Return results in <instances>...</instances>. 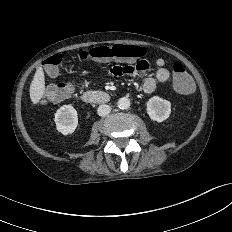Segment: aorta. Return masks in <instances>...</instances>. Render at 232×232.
<instances>
[{
	"label": "aorta",
	"mask_w": 232,
	"mask_h": 232,
	"mask_svg": "<svg viewBox=\"0 0 232 232\" xmlns=\"http://www.w3.org/2000/svg\"><path fill=\"white\" fill-rule=\"evenodd\" d=\"M130 107V100L127 97H122L118 100V108L119 109H127Z\"/></svg>",
	"instance_id": "aorta-1"
}]
</instances>
